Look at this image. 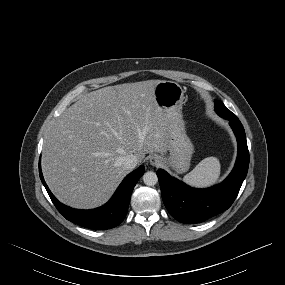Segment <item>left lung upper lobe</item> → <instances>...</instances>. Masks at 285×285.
I'll list each match as a JSON object with an SVG mask.
<instances>
[{
  "instance_id": "obj_1",
  "label": "left lung upper lobe",
  "mask_w": 285,
  "mask_h": 285,
  "mask_svg": "<svg viewBox=\"0 0 285 285\" xmlns=\"http://www.w3.org/2000/svg\"><path fill=\"white\" fill-rule=\"evenodd\" d=\"M215 110L221 117L237 119V116L228 110L221 101L215 103Z\"/></svg>"
}]
</instances>
